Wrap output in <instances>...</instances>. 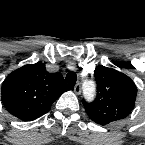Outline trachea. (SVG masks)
I'll list each match as a JSON object with an SVG mask.
<instances>
[{
  "mask_svg": "<svg viewBox=\"0 0 145 145\" xmlns=\"http://www.w3.org/2000/svg\"><path fill=\"white\" fill-rule=\"evenodd\" d=\"M76 80H77V75H76L75 72H69V73L66 75V82H67L69 85H75Z\"/></svg>",
  "mask_w": 145,
  "mask_h": 145,
  "instance_id": "trachea-1",
  "label": "trachea"
}]
</instances>
